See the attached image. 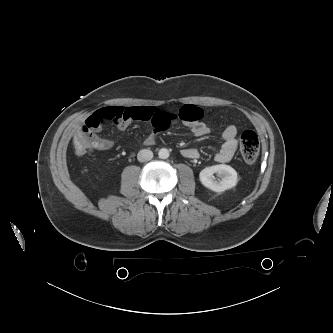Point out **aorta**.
<instances>
[{"label":"aorta","instance_id":"obj_1","mask_svg":"<svg viewBox=\"0 0 333 333\" xmlns=\"http://www.w3.org/2000/svg\"><path fill=\"white\" fill-rule=\"evenodd\" d=\"M159 158L167 159L169 157V150L166 148H162L158 152Z\"/></svg>","mask_w":333,"mask_h":333}]
</instances>
